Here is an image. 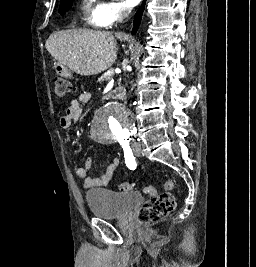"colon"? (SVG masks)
<instances>
[{"mask_svg": "<svg viewBox=\"0 0 256 267\" xmlns=\"http://www.w3.org/2000/svg\"><path fill=\"white\" fill-rule=\"evenodd\" d=\"M71 91V83L69 77H56L55 78V92L58 96H65ZM174 187V183L171 180L165 182L164 188L171 190ZM121 191H135L136 184L132 182H122L119 185ZM145 193L151 197L139 210L138 220L140 224H144V227H149V223L157 222L164 217L170 215L176 207V202L171 196V193H162L158 196V193L152 187H145ZM163 195V196H162Z\"/></svg>", "mask_w": 256, "mask_h": 267, "instance_id": "colon-1", "label": "colon"}]
</instances>
